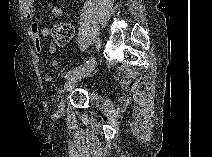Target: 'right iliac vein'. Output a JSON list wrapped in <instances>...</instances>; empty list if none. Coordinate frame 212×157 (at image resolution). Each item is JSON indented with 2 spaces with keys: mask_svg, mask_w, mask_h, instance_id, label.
Instances as JSON below:
<instances>
[{
  "mask_svg": "<svg viewBox=\"0 0 212 157\" xmlns=\"http://www.w3.org/2000/svg\"><path fill=\"white\" fill-rule=\"evenodd\" d=\"M96 63L97 61H94L92 64H90L89 66L85 67L83 70L79 71L78 73L72 75L71 77H69L67 83L65 84V90H68L71 85L77 83L78 81H81L83 78L87 77L89 74H91L93 72V70L96 67ZM64 98L62 97L60 102H59V106H58V111L62 112L64 110Z\"/></svg>",
  "mask_w": 212,
  "mask_h": 157,
  "instance_id": "1",
  "label": "right iliac vein"
}]
</instances>
